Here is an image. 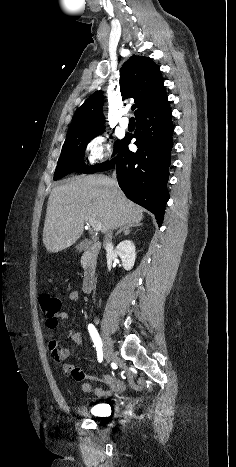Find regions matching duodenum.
Returning a JSON list of instances; mask_svg holds the SVG:
<instances>
[{
  "label": "duodenum",
  "mask_w": 236,
  "mask_h": 467,
  "mask_svg": "<svg viewBox=\"0 0 236 467\" xmlns=\"http://www.w3.org/2000/svg\"><path fill=\"white\" fill-rule=\"evenodd\" d=\"M85 249L87 258L82 277V290L84 293H89L92 291L95 281L96 256L100 249V243L98 241H87L85 243Z\"/></svg>",
  "instance_id": "duodenum-1"
}]
</instances>
